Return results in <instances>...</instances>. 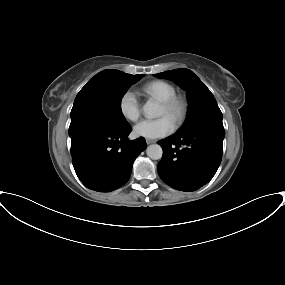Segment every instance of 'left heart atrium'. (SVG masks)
Listing matches in <instances>:
<instances>
[{
	"label": "left heart atrium",
	"instance_id": "39dd6f15",
	"mask_svg": "<svg viewBox=\"0 0 285 285\" xmlns=\"http://www.w3.org/2000/svg\"><path fill=\"white\" fill-rule=\"evenodd\" d=\"M175 129L174 121L164 115L157 119H146L134 127V134L146 139H156L171 134Z\"/></svg>",
	"mask_w": 285,
	"mask_h": 285
}]
</instances>
